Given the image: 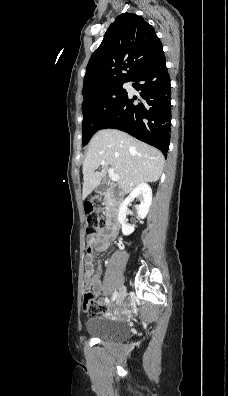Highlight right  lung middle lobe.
<instances>
[{"label":"right lung middle lobe","mask_w":228,"mask_h":396,"mask_svg":"<svg viewBox=\"0 0 228 396\" xmlns=\"http://www.w3.org/2000/svg\"><path fill=\"white\" fill-rule=\"evenodd\" d=\"M123 83H115L83 95L82 143L87 144L102 124L116 111L127 96Z\"/></svg>","instance_id":"1"}]
</instances>
